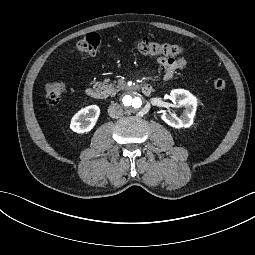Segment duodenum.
Returning a JSON list of instances; mask_svg holds the SVG:
<instances>
[{
    "label": "duodenum",
    "instance_id": "410a0bca",
    "mask_svg": "<svg viewBox=\"0 0 255 255\" xmlns=\"http://www.w3.org/2000/svg\"><path fill=\"white\" fill-rule=\"evenodd\" d=\"M85 92L86 95L91 99L98 100L101 98V92L95 87H88ZM142 92L146 96L150 95L152 93V86L149 84H144L142 86Z\"/></svg>",
    "mask_w": 255,
    "mask_h": 255
}]
</instances>
